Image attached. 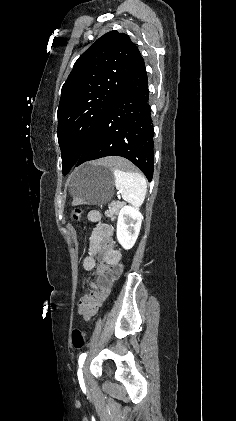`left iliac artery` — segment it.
<instances>
[{
	"instance_id": "left-iliac-artery-1",
	"label": "left iliac artery",
	"mask_w": 236,
	"mask_h": 421,
	"mask_svg": "<svg viewBox=\"0 0 236 421\" xmlns=\"http://www.w3.org/2000/svg\"><path fill=\"white\" fill-rule=\"evenodd\" d=\"M86 356H87V354L86 353H82L80 356H79V360H78V364H79V370H78V373H80V374H82V367H83V363H84V361H85V359H86Z\"/></svg>"
}]
</instances>
